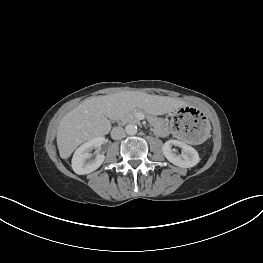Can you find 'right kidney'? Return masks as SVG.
<instances>
[{
    "instance_id": "1",
    "label": "right kidney",
    "mask_w": 263,
    "mask_h": 263,
    "mask_svg": "<svg viewBox=\"0 0 263 263\" xmlns=\"http://www.w3.org/2000/svg\"><path fill=\"white\" fill-rule=\"evenodd\" d=\"M104 141L103 137L93 138L82 144L74 153L72 158V169L76 174L85 175L98 169L103 163L105 156L98 154L93 159L91 151L98 148Z\"/></svg>"
}]
</instances>
